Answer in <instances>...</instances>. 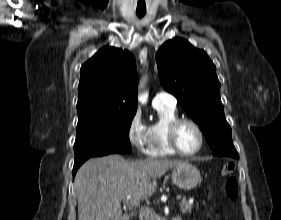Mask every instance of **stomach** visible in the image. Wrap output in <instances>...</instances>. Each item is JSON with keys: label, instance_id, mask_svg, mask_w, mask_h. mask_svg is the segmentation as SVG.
<instances>
[{"label": "stomach", "instance_id": "0dacf381", "mask_svg": "<svg viewBox=\"0 0 281 220\" xmlns=\"http://www.w3.org/2000/svg\"><path fill=\"white\" fill-rule=\"evenodd\" d=\"M172 182L181 189L195 188L201 181L200 171L192 164L183 163L173 168Z\"/></svg>", "mask_w": 281, "mask_h": 220}]
</instances>
